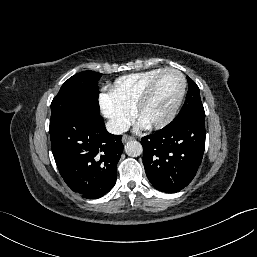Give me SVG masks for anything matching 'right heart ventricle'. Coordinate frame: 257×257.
Listing matches in <instances>:
<instances>
[{
  "mask_svg": "<svg viewBox=\"0 0 257 257\" xmlns=\"http://www.w3.org/2000/svg\"><path fill=\"white\" fill-rule=\"evenodd\" d=\"M163 69L156 68L122 76L114 82L108 95L120 105L132 110L148 84Z\"/></svg>",
  "mask_w": 257,
  "mask_h": 257,
  "instance_id": "obj_1",
  "label": "right heart ventricle"
}]
</instances>
